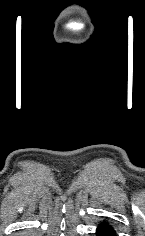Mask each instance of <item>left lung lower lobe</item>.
<instances>
[{"mask_svg":"<svg viewBox=\"0 0 145 236\" xmlns=\"http://www.w3.org/2000/svg\"><path fill=\"white\" fill-rule=\"evenodd\" d=\"M96 235L97 236H116V231L113 225L107 219H104L98 225L96 229Z\"/></svg>","mask_w":145,"mask_h":236,"instance_id":"left-lung-lower-lobe-1","label":"left lung lower lobe"}]
</instances>
